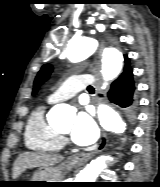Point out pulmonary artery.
Listing matches in <instances>:
<instances>
[{
	"mask_svg": "<svg viewBox=\"0 0 160 187\" xmlns=\"http://www.w3.org/2000/svg\"><path fill=\"white\" fill-rule=\"evenodd\" d=\"M94 82V78L84 74H77L71 76L64 81L57 89L48 96L49 103H57L66 101L80 91L85 90L88 85Z\"/></svg>",
	"mask_w": 160,
	"mask_h": 187,
	"instance_id": "1",
	"label": "pulmonary artery"
}]
</instances>
